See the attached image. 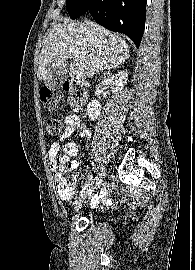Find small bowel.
Here are the masks:
<instances>
[{
	"instance_id": "obj_1",
	"label": "small bowel",
	"mask_w": 195,
	"mask_h": 270,
	"mask_svg": "<svg viewBox=\"0 0 195 270\" xmlns=\"http://www.w3.org/2000/svg\"><path fill=\"white\" fill-rule=\"evenodd\" d=\"M65 123V129L61 136V140H64L74 133H78L81 138H89L90 132L85 126V124L82 122L81 118L77 115L69 114L64 119ZM59 152V144L57 142H53L51 146L48 149V158H49V164L52 172L55 171L57 167V155ZM79 167L78 161H72L71 162V168L73 171L77 170ZM74 190L72 189L67 194H59L60 198L63 200H69L73 197ZM99 202V196H95L93 198V204H97Z\"/></svg>"
}]
</instances>
